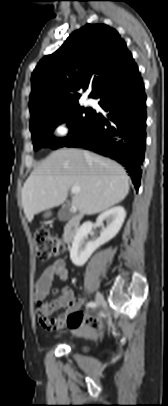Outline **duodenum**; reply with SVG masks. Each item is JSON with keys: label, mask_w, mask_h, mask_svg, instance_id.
I'll return each instance as SVG.
<instances>
[{"label": "duodenum", "mask_w": 168, "mask_h": 406, "mask_svg": "<svg viewBox=\"0 0 168 406\" xmlns=\"http://www.w3.org/2000/svg\"><path fill=\"white\" fill-rule=\"evenodd\" d=\"M81 220H82L81 213H75L72 216H70L69 219L67 220L63 231V240L66 244H69L73 240L80 226Z\"/></svg>", "instance_id": "1"}]
</instances>
